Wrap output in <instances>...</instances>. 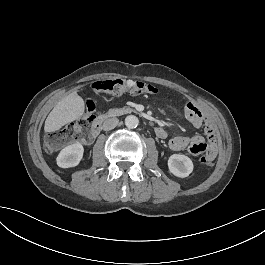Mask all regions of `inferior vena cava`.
<instances>
[{
  "label": "inferior vena cava",
  "instance_id": "602c4592",
  "mask_svg": "<svg viewBox=\"0 0 265 265\" xmlns=\"http://www.w3.org/2000/svg\"><path fill=\"white\" fill-rule=\"evenodd\" d=\"M118 121L119 120L117 118H108L103 122L102 129L104 131L112 130L117 126Z\"/></svg>",
  "mask_w": 265,
  "mask_h": 265
}]
</instances>
